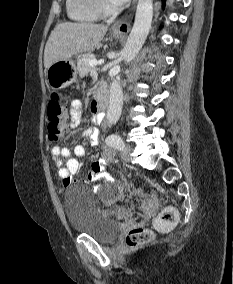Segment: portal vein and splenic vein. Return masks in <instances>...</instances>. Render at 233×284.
<instances>
[{"instance_id": "1", "label": "portal vein and splenic vein", "mask_w": 233, "mask_h": 284, "mask_svg": "<svg viewBox=\"0 0 233 284\" xmlns=\"http://www.w3.org/2000/svg\"><path fill=\"white\" fill-rule=\"evenodd\" d=\"M104 63V60L97 61L96 59H92L89 61V65L91 67H96L97 65H101Z\"/></svg>"}]
</instances>
